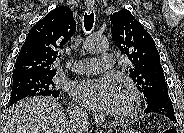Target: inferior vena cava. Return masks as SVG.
Masks as SVG:
<instances>
[{"label":"inferior vena cava","instance_id":"inferior-vena-cava-1","mask_svg":"<svg viewBox=\"0 0 184 133\" xmlns=\"http://www.w3.org/2000/svg\"><path fill=\"white\" fill-rule=\"evenodd\" d=\"M69 115L68 133H86L88 131V114L85 110L73 108Z\"/></svg>","mask_w":184,"mask_h":133}]
</instances>
